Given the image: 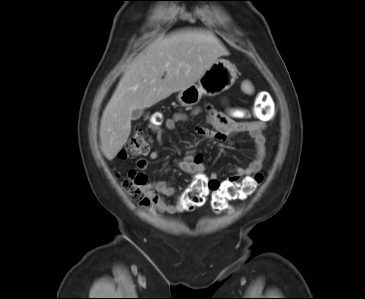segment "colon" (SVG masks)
<instances>
[{"instance_id":"5ec220e1","label":"colon","mask_w":365,"mask_h":299,"mask_svg":"<svg viewBox=\"0 0 365 299\" xmlns=\"http://www.w3.org/2000/svg\"><path fill=\"white\" fill-rule=\"evenodd\" d=\"M246 115L243 109L236 108L230 112V116L241 118ZM268 115L267 108L261 111L260 117ZM152 127H157L161 123V116L153 113L148 118ZM149 144L142 132L138 129L129 139L125 147L120 151V157L135 158L148 152ZM263 181V174H255L245 177L241 181L230 183H203L196 181L190 185L183 193L178 204L180 210L192 211L202 206L208 195L211 194V206L215 212H221L225 209L227 203L235 199H245L250 196L257 186ZM122 188L128 193L130 198L140 206L149 207L152 199L147 193L146 176L134 169L127 172L121 181Z\"/></svg>"}]
</instances>
